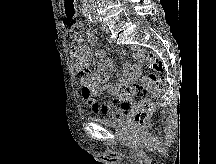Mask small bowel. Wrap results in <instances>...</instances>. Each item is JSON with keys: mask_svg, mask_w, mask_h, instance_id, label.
<instances>
[{"mask_svg": "<svg viewBox=\"0 0 216 164\" xmlns=\"http://www.w3.org/2000/svg\"><path fill=\"white\" fill-rule=\"evenodd\" d=\"M87 40L93 45L98 44L97 38L91 33L87 34ZM70 56L74 68L78 71L82 85V97L93 112L116 118L122 112L126 113L130 109V103L122 101L120 93L123 86L139 78L143 57L142 49L133 48L134 62L126 66L123 74L117 75V81L114 84H106L109 74L114 69L112 60L101 47L97 48L93 59V51L89 45L85 44L81 32H75L72 36ZM103 93L112 95L113 100L106 103L98 102L96 97Z\"/></svg>", "mask_w": 216, "mask_h": 164, "instance_id": "c3829d8e", "label": "small bowel"}]
</instances>
